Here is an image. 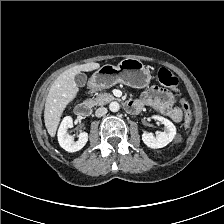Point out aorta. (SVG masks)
I'll list each match as a JSON object with an SVG mask.
<instances>
[{
  "instance_id": "aorta-1",
  "label": "aorta",
  "mask_w": 224,
  "mask_h": 224,
  "mask_svg": "<svg viewBox=\"0 0 224 224\" xmlns=\"http://www.w3.org/2000/svg\"><path fill=\"white\" fill-rule=\"evenodd\" d=\"M109 109L111 112H117L120 109V105L118 102H111L109 105Z\"/></svg>"
}]
</instances>
